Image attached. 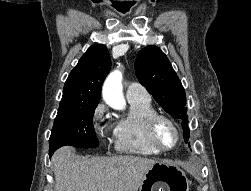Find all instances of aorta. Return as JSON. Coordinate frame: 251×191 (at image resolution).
<instances>
[{"label": "aorta", "instance_id": "aorta-1", "mask_svg": "<svg viewBox=\"0 0 251 191\" xmlns=\"http://www.w3.org/2000/svg\"><path fill=\"white\" fill-rule=\"evenodd\" d=\"M122 74L119 70H114L107 76L102 90L103 99L113 109H123L126 101L123 96Z\"/></svg>", "mask_w": 251, "mask_h": 191}]
</instances>
